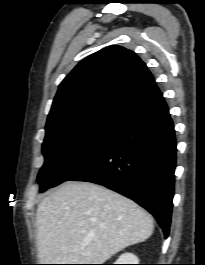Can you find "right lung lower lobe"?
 I'll return each mask as SVG.
<instances>
[{"instance_id": "obj_1", "label": "right lung lower lobe", "mask_w": 205, "mask_h": 265, "mask_svg": "<svg viewBox=\"0 0 205 265\" xmlns=\"http://www.w3.org/2000/svg\"><path fill=\"white\" fill-rule=\"evenodd\" d=\"M176 151L174 125L161 97L122 124L110 143L67 180L97 183L134 200L154 215L167 237Z\"/></svg>"}]
</instances>
